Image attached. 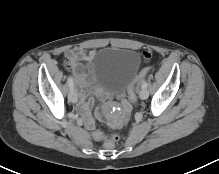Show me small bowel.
Segmentation results:
<instances>
[{
    "label": "small bowel",
    "mask_w": 219,
    "mask_h": 174,
    "mask_svg": "<svg viewBox=\"0 0 219 174\" xmlns=\"http://www.w3.org/2000/svg\"><path fill=\"white\" fill-rule=\"evenodd\" d=\"M97 54V51L95 50H83L81 48H73L66 52L67 58L70 60V63L73 68V72L75 75L76 82L80 88L79 97V109L85 116V125L89 129L94 128V119L89 116L90 109L93 104V99L87 97L91 93V91L88 90V87L90 86L92 82V77L87 69V67L83 64V62L90 63L91 60L94 58V56ZM143 60L146 63H153L156 60V53L153 50H146L143 53ZM102 97L105 96V94H100ZM121 111L124 113L121 119L119 120H113L109 127L112 130H122L125 128L133 119V112L131 111L130 105L126 100H123L120 103Z\"/></svg>",
    "instance_id": "1"
}]
</instances>
